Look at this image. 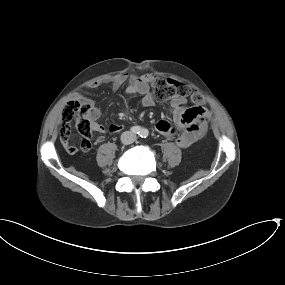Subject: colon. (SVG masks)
<instances>
[{
  "mask_svg": "<svg viewBox=\"0 0 285 285\" xmlns=\"http://www.w3.org/2000/svg\"><path fill=\"white\" fill-rule=\"evenodd\" d=\"M152 90L154 96L161 101L176 97L190 96L191 102L196 107H201L204 99L200 94H190V89L186 84L175 80H168L162 77H156L152 81ZM91 104L85 98L72 99L65 105L62 115V126L60 130L61 139L64 141L67 137V129L70 122H75L78 132L85 138L90 139L92 134V124L89 118Z\"/></svg>",
  "mask_w": 285,
  "mask_h": 285,
  "instance_id": "colon-1",
  "label": "colon"
}]
</instances>
